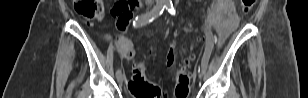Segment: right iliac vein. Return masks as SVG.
<instances>
[{
	"label": "right iliac vein",
	"mask_w": 308,
	"mask_h": 98,
	"mask_svg": "<svg viewBox=\"0 0 308 98\" xmlns=\"http://www.w3.org/2000/svg\"><path fill=\"white\" fill-rule=\"evenodd\" d=\"M124 74L122 72H120L118 75H117V81L121 84L123 83L124 81Z\"/></svg>",
	"instance_id": "obj_1"
}]
</instances>
